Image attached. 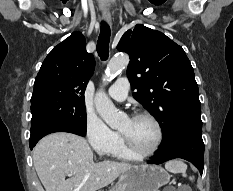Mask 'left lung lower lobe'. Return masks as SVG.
Listing matches in <instances>:
<instances>
[{"label": "left lung lower lobe", "mask_w": 233, "mask_h": 191, "mask_svg": "<svg viewBox=\"0 0 233 191\" xmlns=\"http://www.w3.org/2000/svg\"><path fill=\"white\" fill-rule=\"evenodd\" d=\"M174 158H182L193 163L202 175L204 168L202 127L190 126L178 130L159 146L158 153L148 163L161 164Z\"/></svg>", "instance_id": "0a47b994"}]
</instances>
